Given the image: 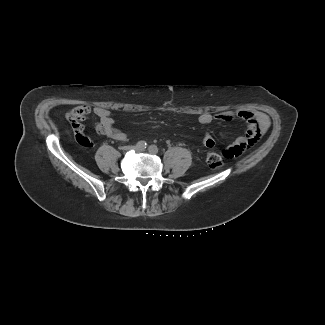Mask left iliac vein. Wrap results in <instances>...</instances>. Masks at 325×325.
Returning <instances> with one entry per match:
<instances>
[{
	"label": "left iliac vein",
	"mask_w": 325,
	"mask_h": 325,
	"mask_svg": "<svg viewBox=\"0 0 325 325\" xmlns=\"http://www.w3.org/2000/svg\"><path fill=\"white\" fill-rule=\"evenodd\" d=\"M136 151H139V152H143L144 149H139V148H136Z\"/></svg>",
	"instance_id": "1"
}]
</instances>
